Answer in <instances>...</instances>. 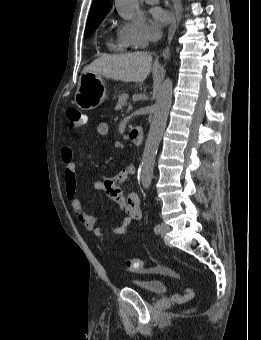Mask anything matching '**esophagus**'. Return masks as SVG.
Returning a JSON list of instances; mask_svg holds the SVG:
<instances>
[{"instance_id":"obj_1","label":"esophagus","mask_w":261,"mask_h":340,"mask_svg":"<svg viewBox=\"0 0 261 340\" xmlns=\"http://www.w3.org/2000/svg\"><path fill=\"white\" fill-rule=\"evenodd\" d=\"M175 30H176V21H175V17L173 15L172 17V23H171V26L169 28V32H168V41L170 42L174 36V33H175ZM168 49L165 50V52H167Z\"/></svg>"}]
</instances>
